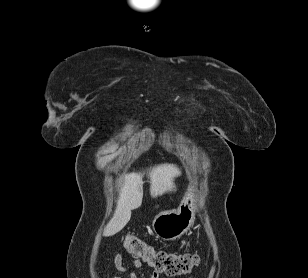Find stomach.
I'll return each instance as SVG.
<instances>
[{"label":"stomach","mask_w":308,"mask_h":278,"mask_svg":"<svg viewBox=\"0 0 308 278\" xmlns=\"http://www.w3.org/2000/svg\"><path fill=\"white\" fill-rule=\"evenodd\" d=\"M197 207L190 184L177 210H168L155 216L154 232L163 240H175L186 233L195 221Z\"/></svg>","instance_id":"0dacf381"}]
</instances>
